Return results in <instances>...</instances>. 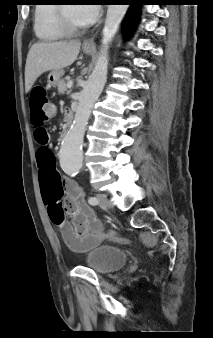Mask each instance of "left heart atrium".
Masks as SVG:
<instances>
[{
    "label": "left heart atrium",
    "mask_w": 213,
    "mask_h": 338,
    "mask_svg": "<svg viewBox=\"0 0 213 338\" xmlns=\"http://www.w3.org/2000/svg\"><path fill=\"white\" fill-rule=\"evenodd\" d=\"M89 1H86L87 3ZM78 18L85 24H93L100 16L99 5H79L77 8Z\"/></svg>",
    "instance_id": "left-heart-atrium-1"
}]
</instances>
